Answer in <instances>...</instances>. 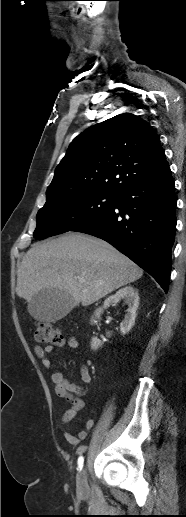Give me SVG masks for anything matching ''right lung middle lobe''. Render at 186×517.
<instances>
[{
    "instance_id": "dd1d6c3e",
    "label": "right lung middle lobe",
    "mask_w": 186,
    "mask_h": 517,
    "mask_svg": "<svg viewBox=\"0 0 186 517\" xmlns=\"http://www.w3.org/2000/svg\"><path fill=\"white\" fill-rule=\"evenodd\" d=\"M119 195L102 192H82L46 201L37 213L36 239H45L71 231L110 210Z\"/></svg>"
}]
</instances>
